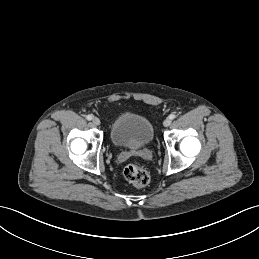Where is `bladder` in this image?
Here are the masks:
<instances>
[{"label": "bladder", "instance_id": "bladder-1", "mask_svg": "<svg viewBox=\"0 0 259 259\" xmlns=\"http://www.w3.org/2000/svg\"><path fill=\"white\" fill-rule=\"evenodd\" d=\"M154 130L151 122L143 115L123 112L111 126L110 137L113 144L121 149L138 150L152 141Z\"/></svg>", "mask_w": 259, "mask_h": 259}]
</instances>
